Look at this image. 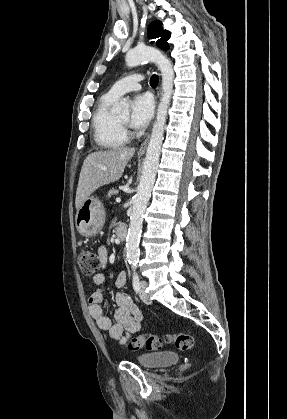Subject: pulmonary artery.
I'll return each mask as SVG.
<instances>
[{
	"mask_svg": "<svg viewBox=\"0 0 287 419\" xmlns=\"http://www.w3.org/2000/svg\"><path fill=\"white\" fill-rule=\"evenodd\" d=\"M143 77L139 74H131L118 80L108 91V94L118 98L126 92L138 90L141 88Z\"/></svg>",
	"mask_w": 287,
	"mask_h": 419,
	"instance_id": "1",
	"label": "pulmonary artery"
}]
</instances>
